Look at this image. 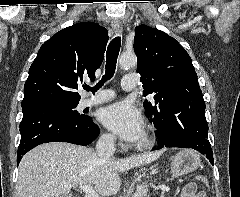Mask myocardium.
Returning a JSON list of instances; mask_svg holds the SVG:
<instances>
[{"instance_id":"f54148a6","label":"myocardium","mask_w":240,"mask_h":197,"mask_svg":"<svg viewBox=\"0 0 240 197\" xmlns=\"http://www.w3.org/2000/svg\"><path fill=\"white\" fill-rule=\"evenodd\" d=\"M155 143V136L152 131H147L139 142V147L149 148Z\"/></svg>"}]
</instances>
